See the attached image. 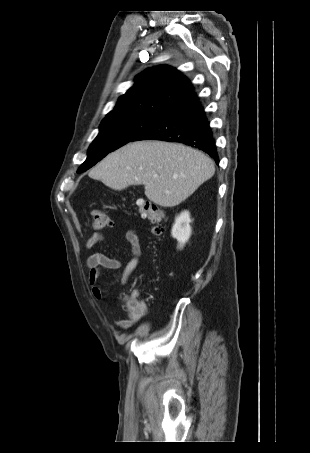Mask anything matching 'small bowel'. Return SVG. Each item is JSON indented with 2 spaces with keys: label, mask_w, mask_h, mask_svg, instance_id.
<instances>
[{
  "label": "small bowel",
  "mask_w": 310,
  "mask_h": 453,
  "mask_svg": "<svg viewBox=\"0 0 310 453\" xmlns=\"http://www.w3.org/2000/svg\"><path fill=\"white\" fill-rule=\"evenodd\" d=\"M105 236L102 233H93L86 241L85 247L87 249L93 248L95 245L103 242ZM126 240L128 241L131 249V258L122 268V261L117 258L109 257L103 253H93L87 258V265L89 267L88 281L91 286V291L96 299H100L103 294V289L99 283L101 273L104 270L118 271L114 282H119L121 285H126L129 276L138 266L141 257L142 250L140 245L139 234L135 229H130L126 232ZM140 317H132L127 315L126 317L117 318L115 325L121 329H127L133 326Z\"/></svg>",
  "instance_id": "obj_1"
}]
</instances>
